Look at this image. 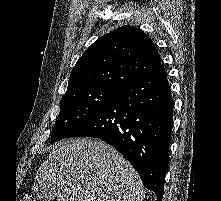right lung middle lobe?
I'll return each mask as SVG.
<instances>
[{"label": "right lung middle lobe", "instance_id": "obj_1", "mask_svg": "<svg viewBox=\"0 0 221 201\" xmlns=\"http://www.w3.org/2000/svg\"><path fill=\"white\" fill-rule=\"evenodd\" d=\"M118 92L107 87H90L67 92L60 101V114L51 134V142L66 138L101 110Z\"/></svg>", "mask_w": 221, "mask_h": 201}]
</instances>
